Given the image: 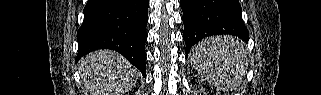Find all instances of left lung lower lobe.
<instances>
[{
	"mask_svg": "<svg viewBox=\"0 0 321 95\" xmlns=\"http://www.w3.org/2000/svg\"><path fill=\"white\" fill-rule=\"evenodd\" d=\"M183 10L186 54L201 39L218 34L235 35L248 41L238 0H180Z\"/></svg>",
	"mask_w": 321,
	"mask_h": 95,
	"instance_id": "0a47b994",
	"label": "left lung lower lobe"
}]
</instances>
